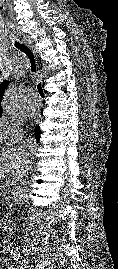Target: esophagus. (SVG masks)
Listing matches in <instances>:
<instances>
[{"label": "esophagus", "instance_id": "34e87169", "mask_svg": "<svg viewBox=\"0 0 118 269\" xmlns=\"http://www.w3.org/2000/svg\"><path fill=\"white\" fill-rule=\"evenodd\" d=\"M21 41L23 43H25L32 50V52L35 54V56L37 57V49H36L33 41L31 40V38L24 37Z\"/></svg>", "mask_w": 118, "mask_h": 269}]
</instances>
